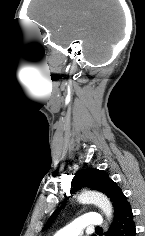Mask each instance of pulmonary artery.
Instances as JSON below:
<instances>
[{"label":"pulmonary artery","mask_w":145,"mask_h":236,"mask_svg":"<svg viewBox=\"0 0 145 236\" xmlns=\"http://www.w3.org/2000/svg\"><path fill=\"white\" fill-rule=\"evenodd\" d=\"M103 224L101 215L87 213L84 214L69 225L57 231L54 236H80L86 227H99Z\"/></svg>","instance_id":"pulmonary-artery-1"}]
</instances>
